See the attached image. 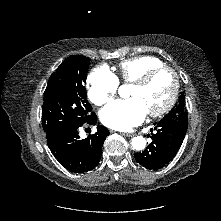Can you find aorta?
Listing matches in <instances>:
<instances>
[{
    "label": "aorta",
    "mask_w": 221,
    "mask_h": 221,
    "mask_svg": "<svg viewBox=\"0 0 221 221\" xmlns=\"http://www.w3.org/2000/svg\"><path fill=\"white\" fill-rule=\"evenodd\" d=\"M131 145H132L133 149H135L137 151H141L146 146V140L142 136H136V137L132 138Z\"/></svg>",
    "instance_id": "762f6f07"
}]
</instances>
